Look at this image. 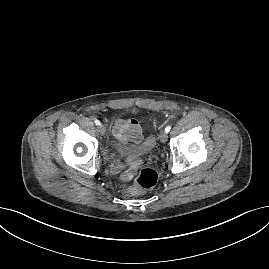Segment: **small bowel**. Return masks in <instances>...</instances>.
Returning a JSON list of instances; mask_svg holds the SVG:
<instances>
[{
    "instance_id": "small-bowel-1",
    "label": "small bowel",
    "mask_w": 269,
    "mask_h": 269,
    "mask_svg": "<svg viewBox=\"0 0 269 269\" xmlns=\"http://www.w3.org/2000/svg\"><path fill=\"white\" fill-rule=\"evenodd\" d=\"M113 136L122 141H130L137 143L141 139V127L139 122L135 118L130 119H118L115 121L112 130ZM133 168L129 169L124 178L127 179L133 174Z\"/></svg>"
}]
</instances>
